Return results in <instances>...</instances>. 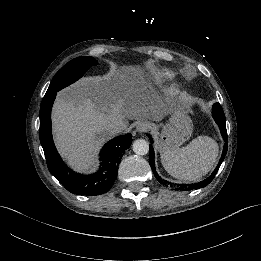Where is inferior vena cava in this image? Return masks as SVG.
Instances as JSON below:
<instances>
[{"instance_id": "602c4592", "label": "inferior vena cava", "mask_w": 261, "mask_h": 261, "mask_svg": "<svg viewBox=\"0 0 261 261\" xmlns=\"http://www.w3.org/2000/svg\"><path fill=\"white\" fill-rule=\"evenodd\" d=\"M127 128V125L122 119H116L108 125V130L113 134L123 132Z\"/></svg>"}]
</instances>
